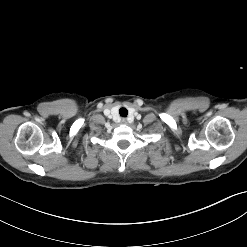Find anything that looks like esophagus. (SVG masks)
I'll return each mask as SVG.
<instances>
[{
  "label": "esophagus",
  "instance_id": "obj_1",
  "mask_svg": "<svg viewBox=\"0 0 247 247\" xmlns=\"http://www.w3.org/2000/svg\"><path fill=\"white\" fill-rule=\"evenodd\" d=\"M123 124H126L127 123V120L125 118L122 119L121 121Z\"/></svg>",
  "mask_w": 247,
  "mask_h": 247
}]
</instances>
